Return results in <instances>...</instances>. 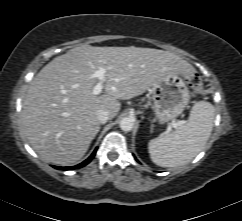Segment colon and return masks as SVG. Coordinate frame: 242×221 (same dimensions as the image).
I'll list each match as a JSON object with an SVG mask.
<instances>
[{"instance_id": "obj_1", "label": "colon", "mask_w": 242, "mask_h": 221, "mask_svg": "<svg viewBox=\"0 0 242 221\" xmlns=\"http://www.w3.org/2000/svg\"><path fill=\"white\" fill-rule=\"evenodd\" d=\"M190 84L197 95H203L205 93L204 88L201 85V78L197 74H192L189 77Z\"/></svg>"}]
</instances>
